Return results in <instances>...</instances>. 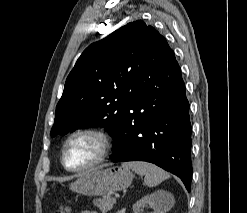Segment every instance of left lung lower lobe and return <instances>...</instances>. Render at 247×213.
<instances>
[{
	"mask_svg": "<svg viewBox=\"0 0 247 213\" xmlns=\"http://www.w3.org/2000/svg\"><path fill=\"white\" fill-rule=\"evenodd\" d=\"M191 144L185 85L170 51L150 69L131 98L110 158L154 163L181 178L190 192Z\"/></svg>",
	"mask_w": 247,
	"mask_h": 213,
	"instance_id": "obj_1",
	"label": "left lung lower lobe"
}]
</instances>
